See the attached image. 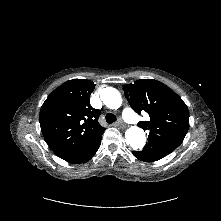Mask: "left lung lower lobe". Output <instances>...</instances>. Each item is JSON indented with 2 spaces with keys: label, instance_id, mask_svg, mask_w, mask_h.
Segmentation results:
<instances>
[{
  "label": "left lung lower lobe",
  "instance_id": "obj_1",
  "mask_svg": "<svg viewBox=\"0 0 221 221\" xmlns=\"http://www.w3.org/2000/svg\"><path fill=\"white\" fill-rule=\"evenodd\" d=\"M132 154L138 158L139 160L145 161V162H153L162 159L164 156L156 155L144 151H132Z\"/></svg>",
  "mask_w": 221,
  "mask_h": 221
}]
</instances>
